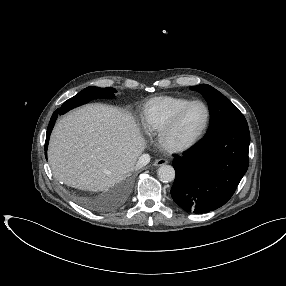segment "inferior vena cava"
<instances>
[{
  "label": "inferior vena cava",
  "mask_w": 286,
  "mask_h": 286,
  "mask_svg": "<svg viewBox=\"0 0 286 286\" xmlns=\"http://www.w3.org/2000/svg\"><path fill=\"white\" fill-rule=\"evenodd\" d=\"M150 162V155L149 154H142L139 158L138 161L136 162L137 167H143L147 165Z\"/></svg>",
  "instance_id": "inferior-vena-cava-1"
}]
</instances>
